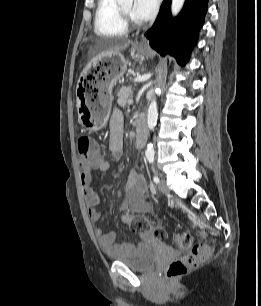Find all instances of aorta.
<instances>
[{"mask_svg": "<svg viewBox=\"0 0 261 306\" xmlns=\"http://www.w3.org/2000/svg\"><path fill=\"white\" fill-rule=\"evenodd\" d=\"M133 0H118L119 4H132ZM185 0H172L171 4V13L173 16L178 15V13L181 11L183 5H184ZM160 90L159 87L155 88V93H157ZM157 102L156 98H154L148 108V114H147V124L148 128L150 130H153L154 127L156 126L157 123ZM146 156H153L154 155V149L152 144H148L146 152Z\"/></svg>", "mask_w": 261, "mask_h": 306, "instance_id": "762f6f07", "label": "aorta"}]
</instances>
